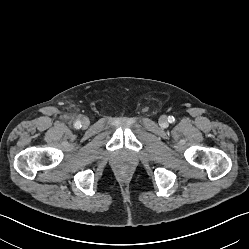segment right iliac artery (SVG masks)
Wrapping results in <instances>:
<instances>
[{"label":"right iliac artery","mask_w":249,"mask_h":249,"mask_svg":"<svg viewBox=\"0 0 249 249\" xmlns=\"http://www.w3.org/2000/svg\"><path fill=\"white\" fill-rule=\"evenodd\" d=\"M75 127H76V128L81 127V122H80L79 120L75 122Z\"/></svg>","instance_id":"obj_1"}]
</instances>
